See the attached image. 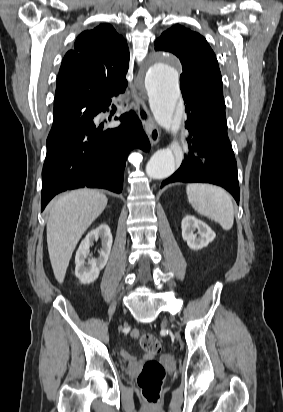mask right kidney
<instances>
[{
  "mask_svg": "<svg viewBox=\"0 0 283 412\" xmlns=\"http://www.w3.org/2000/svg\"><path fill=\"white\" fill-rule=\"evenodd\" d=\"M101 239V249L99 251V257L94 259H86L89 254V248L93 245L94 240ZM112 234L110 228L106 224H101L94 230H91L87 236L82 240L75 256V275L83 284H89L94 282L100 271L107 264L111 247H112Z\"/></svg>",
  "mask_w": 283,
  "mask_h": 412,
  "instance_id": "ca27d5eb",
  "label": "right kidney"
}]
</instances>
